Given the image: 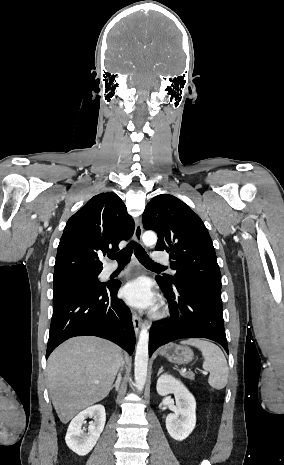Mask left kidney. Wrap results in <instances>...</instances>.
<instances>
[{"label":"left kidney","instance_id":"1","mask_svg":"<svg viewBox=\"0 0 284 465\" xmlns=\"http://www.w3.org/2000/svg\"><path fill=\"white\" fill-rule=\"evenodd\" d=\"M156 389L161 397L173 393L176 411L167 415L166 429L172 439L184 441L196 425V401L193 395L171 375H161L157 381Z\"/></svg>","mask_w":284,"mask_h":465}]
</instances>
